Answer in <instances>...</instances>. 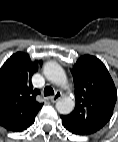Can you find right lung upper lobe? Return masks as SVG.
I'll return each instance as SVG.
<instances>
[{
  "label": "right lung upper lobe",
  "mask_w": 118,
  "mask_h": 142,
  "mask_svg": "<svg viewBox=\"0 0 118 142\" xmlns=\"http://www.w3.org/2000/svg\"><path fill=\"white\" fill-rule=\"evenodd\" d=\"M22 52L13 54L0 69V125L13 132L30 127L42 107L36 100L40 90L34 89L31 77L38 69Z\"/></svg>",
  "instance_id": "1"
}]
</instances>
